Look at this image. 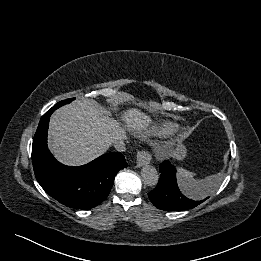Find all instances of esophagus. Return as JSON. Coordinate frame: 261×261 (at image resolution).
Listing matches in <instances>:
<instances>
[{
	"label": "esophagus",
	"instance_id": "obj_1",
	"mask_svg": "<svg viewBox=\"0 0 261 261\" xmlns=\"http://www.w3.org/2000/svg\"><path fill=\"white\" fill-rule=\"evenodd\" d=\"M152 155L150 152L146 150H141L136 155V163L137 167H142L144 165H147L151 162Z\"/></svg>",
	"mask_w": 261,
	"mask_h": 261
}]
</instances>
